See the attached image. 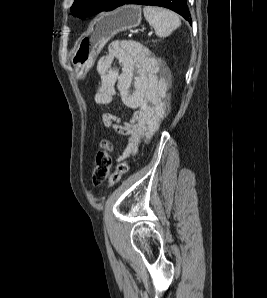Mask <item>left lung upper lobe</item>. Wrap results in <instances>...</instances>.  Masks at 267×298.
Instances as JSON below:
<instances>
[{
    "label": "left lung upper lobe",
    "instance_id": "left-lung-upper-lobe-1",
    "mask_svg": "<svg viewBox=\"0 0 267 298\" xmlns=\"http://www.w3.org/2000/svg\"><path fill=\"white\" fill-rule=\"evenodd\" d=\"M118 0H75L71 13L79 18L95 15L101 11L115 9Z\"/></svg>",
    "mask_w": 267,
    "mask_h": 298
}]
</instances>
